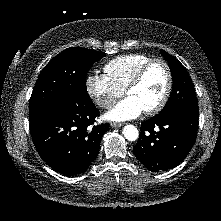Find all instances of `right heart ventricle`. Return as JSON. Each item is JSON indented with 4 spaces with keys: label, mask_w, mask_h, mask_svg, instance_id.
<instances>
[{
    "label": "right heart ventricle",
    "mask_w": 221,
    "mask_h": 221,
    "mask_svg": "<svg viewBox=\"0 0 221 221\" xmlns=\"http://www.w3.org/2000/svg\"><path fill=\"white\" fill-rule=\"evenodd\" d=\"M149 60L151 57L144 54L121 55L107 62L104 72L113 84L125 90L136 71Z\"/></svg>",
    "instance_id": "e07e8e85"
}]
</instances>
